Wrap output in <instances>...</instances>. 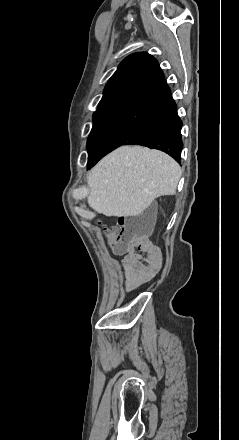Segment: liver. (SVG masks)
I'll list each match as a JSON object with an SVG mask.
<instances>
[{
    "instance_id": "1",
    "label": "liver",
    "mask_w": 239,
    "mask_h": 440,
    "mask_svg": "<svg viewBox=\"0 0 239 440\" xmlns=\"http://www.w3.org/2000/svg\"><path fill=\"white\" fill-rule=\"evenodd\" d=\"M182 170L170 156L142 146H121L87 176L90 208L104 216H139L155 198L174 196Z\"/></svg>"
}]
</instances>
